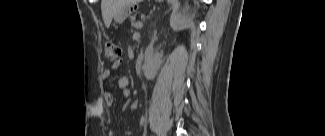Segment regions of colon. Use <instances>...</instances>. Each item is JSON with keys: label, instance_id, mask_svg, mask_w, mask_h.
I'll return each mask as SVG.
<instances>
[{"label": "colon", "instance_id": "5ec220e1", "mask_svg": "<svg viewBox=\"0 0 325 136\" xmlns=\"http://www.w3.org/2000/svg\"><path fill=\"white\" fill-rule=\"evenodd\" d=\"M104 56L108 61H116L121 55V49L112 42H107L103 46Z\"/></svg>", "mask_w": 325, "mask_h": 136}]
</instances>
